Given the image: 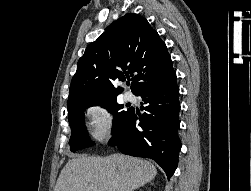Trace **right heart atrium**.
I'll list each match as a JSON object with an SVG mask.
<instances>
[{
    "instance_id": "right-heart-atrium-1",
    "label": "right heart atrium",
    "mask_w": 251,
    "mask_h": 191,
    "mask_svg": "<svg viewBox=\"0 0 251 191\" xmlns=\"http://www.w3.org/2000/svg\"><path fill=\"white\" fill-rule=\"evenodd\" d=\"M90 138L97 144L108 142L114 133L113 117L103 104H90L84 111Z\"/></svg>"
}]
</instances>
